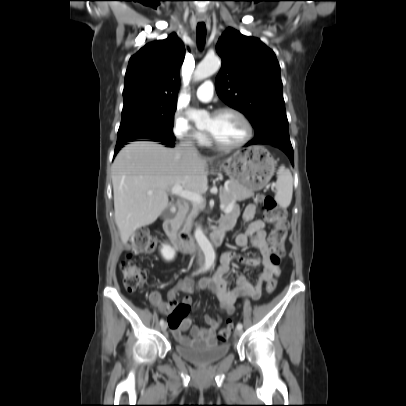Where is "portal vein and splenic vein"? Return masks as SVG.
<instances>
[{"mask_svg":"<svg viewBox=\"0 0 406 406\" xmlns=\"http://www.w3.org/2000/svg\"><path fill=\"white\" fill-rule=\"evenodd\" d=\"M172 194L178 195L184 199L190 200L193 203L200 204L203 202V198L200 194L183 190L180 185L173 186L170 189ZM235 202H232L229 206L225 207L224 205H220V208L224 211V213H230L234 207Z\"/></svg>","mask_w":406,"mask_h":406,"instance_id":"1","label":"portal vein and splenic vein"}]
</instances>
